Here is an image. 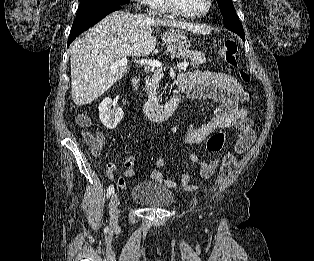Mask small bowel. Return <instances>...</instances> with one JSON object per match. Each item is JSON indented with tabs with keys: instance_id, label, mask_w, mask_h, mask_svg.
Returning a JSON list of instances; mask_svg holds the SVG:
<instances>
[{
	"instance_id": "obj_1",
	"label": "small bowel",
	"mask_w": 314,
	"mask_h": 261,
	"mask_svg": "<svg viewBox=\"0 0 314 261\" xmlns=\"http://www.w3.org/2000/svg\"><path fill=\"white\" fill-rule=\"evenodd\" d=\"M178 81L179 86L188 91L190 98L217 103L214 116L200 125H196L189 118H182L183 141L186 144H201L209 135L219 129L236 127L239 130L237 150L245 152L251 147L255 140L253 123L247 111L240 107V98L245 91L236 78L220 71H192L179 74ZM144 147L145 143H142L136 152L124 160L125 178L134 176V164L137 155ZM189 160L199 163V173L204 179H211L219 165V160L204 162L201 156L196 153L191 154ZM165 164L166 160L164 158L156 159V169L151 173L152 179L167 188H175L177 187V182L169 179L159 170ZM115 171V164L109 163L106 166V174L109 178L114 177ZM125 178L120 177L117 181L118 186L123 190L127 188ZM181 186L188 190L195 189L191 184L190 176L186 173L182 174Z\"/></svg>"
}]
</instances>
